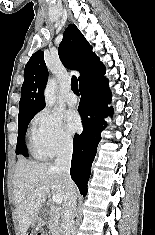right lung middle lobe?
Masks as SVG:
<instances>
[{"label":"right lung middle lobe","instance_id":"1","mask_svg":"<svg viewBox=\"0 0 155 235\" xmlns=\"http://www.w3.org/2000/svg\"><path fill=\"white\" fill-rule=\"evenodd\" d=\"M36 113L27 114L24 116H20L18 119V139L16 145V154L23 155L28 157V150L25 146V134L28 127L29 122L32 120Z\"/></svg>","mask_w":155,"mask_h":235}]
</instances>
